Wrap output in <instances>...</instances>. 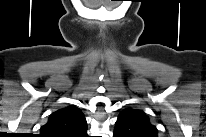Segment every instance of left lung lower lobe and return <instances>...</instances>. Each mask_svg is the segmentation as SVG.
I'll list each match as a JSON object with an SVG mask.
<instances>
[{
	"label": "left lung lower lobe",
	"instance_id": "obj_1",
	"mask_svg": "<svg viewBox=\"0 0 206 137\" xmlns=\"http://www.w3.org/2000/svg\"><path fill=\"white\" fill-rule=\"evenodd\" d=\"M114 136H122V135H120V134L114 132Z\"/></svg>",
	"mask_w": 206,
	"mask_h": 137
}]
</instances>
